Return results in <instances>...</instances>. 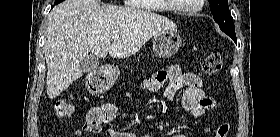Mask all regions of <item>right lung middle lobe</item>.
<instances>
[{
	"label": "right lung middle lobe",
	"mask_w": 280,
	"mask_h": 137,
	"mask_svg": "<svg viewBox=\"0 0 280 137\" xmlns=\"http://www.w3.org/2000/svg\"><path fill=\"white\" fill-rule=\"evenodd\" d=\"M63 0H55V4L61 3Z\"/></svg>",
	"instance_id": "dd1d6c3e"
}]
</instances>
